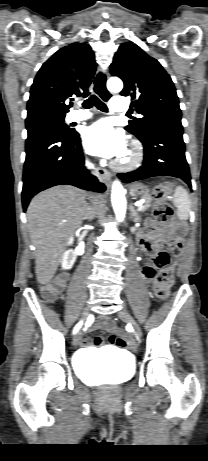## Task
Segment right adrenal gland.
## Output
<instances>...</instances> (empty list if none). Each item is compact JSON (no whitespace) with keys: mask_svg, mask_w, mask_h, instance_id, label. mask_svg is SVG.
I'll list each match as a JSON object with an SVG mask.
<instances>
[{"mask_svg":"<svg viewBox=\"0 0 208 461\" xmlns=\"http://www.w3.org/2000/svg\"><path fill=\"white\" fill-rule=\"evenodd\" d=\"M91 218H92L91 216L86 215V216L83 218V220H91Z\"/></svg>","mask_w":208,"mask_h":461,"instance_id":"right-adrenal-gland-1","label":"right adrenal gland"}]
</instances>
